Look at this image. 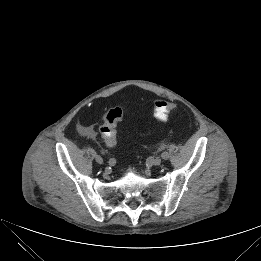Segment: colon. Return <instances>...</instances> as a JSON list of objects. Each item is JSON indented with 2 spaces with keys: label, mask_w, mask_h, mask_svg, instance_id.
<instances>
[{
  "label": "colon",
  "mask_w": 261,
  "mask_h": 261,
  "mask_svg": "<svg viewBox=\"0 0 261 261\" xmlns=\"http://www.w3.org/2000/svg\"><path fill=\"white\" fill-rule=\"evenodd\" d=\"M154 117L160 122L168 119L170 112L176 109V105L172 102L157 99L154 101ZM123 118V111L120 108H112L103 116V122L100 127V133L108 146L117 144L116 126Z\"/></svg>",
  "instance_id": "5ec220e1"
}]
</instances>
